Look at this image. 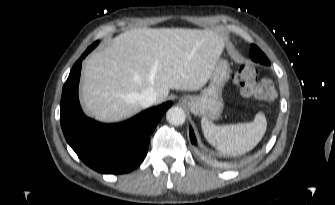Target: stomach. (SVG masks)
I'll return each instance as SVG.
<instances>
[{
	"label": "stomach",
	"mask_w": 335,
	"mask_h": 205,
	"mask_svg": "<svg viewBox=\"0 0 335 205\" xmlns=\"http://www.w3.org/2000/svg\"><path fill=\"white\" fill-rule=\"evenodd\" d=\"M231 69L227 60L219 59L215 64L209 85L199 95H186L181 102L198 116L207 118L209 121L218 119L224 107L222 90L230 78Z\"/></svg>",
	"instance_id": "obj_1"
}]
</instances>
